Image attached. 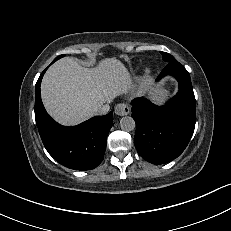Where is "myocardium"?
<instances>
[{
	"label": "myocardium",
	"mask_w": 231,
	"mask_h": 231,
	"mask_svg": "<svg viewBox=\"0 0 231 231\" xmlns=\"http://www.w3.org/2000/svg\"><path fill=\"white\" fill-rule=\"evenodd\" d=\"M150 71L149 70H146L145 74L146 76L149 75Z\"/></svg>",
	"instance_id": "myocardium-1"
}]
</instances>
